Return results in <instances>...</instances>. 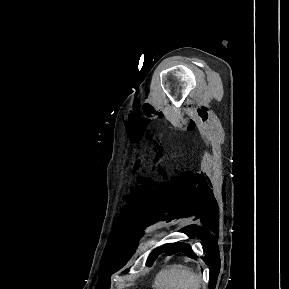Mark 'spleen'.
<instances>
[{"instance_id": "obj_1", "label": "spleen", "mask_w": 289, "mask_h": 289, "mask_svg": "<svg viewBox=\"0 0 289 289\" xmlns=\"http://www.w3.org/2000/svg\"><path fill=\"white\" fill-rule=\"evenodd\" d=\"M154 289H200L201 278L191 268L174 264L163 268L153 284Z\"/></svg>"}]
</instances>
